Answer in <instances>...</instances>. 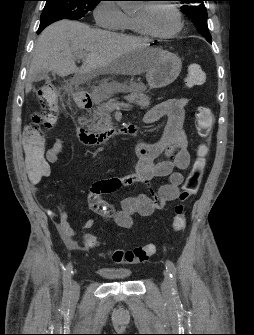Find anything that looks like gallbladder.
I'll list each match as a JSON object with an SVG mask.
<instances>
[{
    "instance_id": "gallbladder-1",
    "label": "gallbladder",
    "mask_w": 254,
    "mask_h": 335,
    "mask_svg": "<svg viewBox=\"0 0 254 335\" xmlns=\"http://www.w3.org/2000/svg\"><path fill=\"white\" fill-rule=\"evenodd\" d=\"M49 77H48V74L47 73H38L35 77H34V79L36 80V81H39V80H42V79H48Z\"/></svg>"
}]
</instances>
